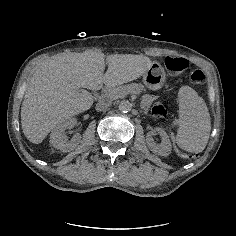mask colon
Wrapping results in <instances>:
<instances>
[{"label":"colon","mask_w":236,"mask_h":236,"mask_svg":"<svg viewBox=\"0 0 236 236\" xmlns=\"http://www.w3.org/2000/svg\"><path fill=\"white\" fill-rule=\"evenodd\" d=\"M164 65L167 70L174 73H182L189 67L186 58L177 56L165 57ZM189 79L193 84H202L205 81V75L200 68H194L189 74ZM151 113L156 117H164L166 115L165 104L160 100H155Z\"/></svg>","instance_id":"5ec220e1"}]
</instances>
